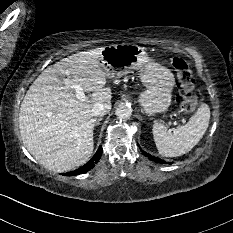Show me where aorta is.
I'll return each mask as SVG.
<instances>
[{"instance_id":"1","label":"aorta","mask_w":233,"mask_h":233,"mask_svg":"<svg viewBox=\"0 0 233 233\" xmlns=\"http://www.w3.org/2000/svg\"><path fill=\"white\" fill-rule=\"evenodd\" d=\"M115 114L119 119H127L132 114V108L126 104L119 105L115 111Z\"/></svg>"}]
</instances>
